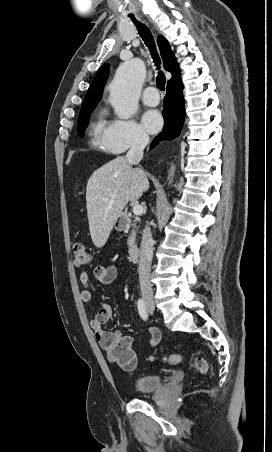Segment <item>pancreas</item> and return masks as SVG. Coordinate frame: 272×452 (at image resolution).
I'll list each match as a JSON object with an SVG mask.
<instances>
[{
	"label": "pancreas",
	"mask_w": 272,
	"mask_h": 452,
	"mask_svg": "<svg viewBox=\"0 0 272 452\" xmlns=\"http://www.w3.org/2000/svg\"><path fill=\"white\" fill-rule=\"evenodd\" d=\"M140 220L139 219H135L132 223L133 229L131 231V235L128 238V244L129 245H133L135 244V240H136V234H137V223H139Z\"/></svg>",
	"instance_id": "cf45deb5"
}]
</instances>
